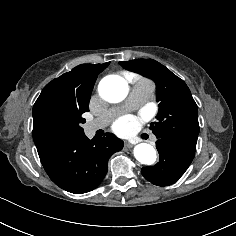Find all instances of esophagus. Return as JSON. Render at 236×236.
Returning a JSON list of instances; mask_svg holds the SVG:
<instances>
[{
    "instance_id": "esophagus-1",
    "label": "esophagus",
    "mask_w": 236,
    "mask_h": 236,
    "mask_svg": "<svg viewBox=\"0 0 236 236\" xmlns=\"http://www.w3.org/2000/svg\"><path fill=\"white\" fill-rule=\"evenodd\" d=\"M126 146H127V147H132V145H131V144H127Z\"/></svg>"
}]
</instances>
